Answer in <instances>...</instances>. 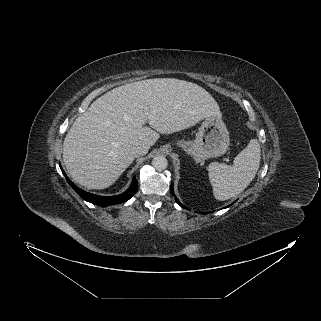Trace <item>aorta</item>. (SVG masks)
Masks as SVG:
<instances>
[{"mask_svg":"<svg viewBox=\"0 0 321 321\" xmlns=\"http://www.w3.org/2000/svg\"><path fill=\"white\" fill-rule=\"evenodd\" d=\"M152 166L156 169V170H164L167 168L168 166V161L164 156H156L153 158L152 160Z\"/></svg>","mask_w":321,"mask_h":321,"instance_id":"1","label":"aorta"}]
</instances>
